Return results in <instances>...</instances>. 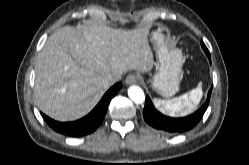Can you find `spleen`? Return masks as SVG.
<instances>
[{"instance_id":"spleen-1","label":"spleen","mask_w":249,"mask_h":165,"mask_svg":"<svg viewBox=\"0 0 249 165\" xmlns=\"http://www.w3.org/2000/svg\"><path fill=\"white\" fill-rule=\"evenodd\" d=\"M202 83L179 97L171 100L154 99V105L164 114L173 117L185 116L193 112L202 98Z\"/></svg>"}]
</instances>
